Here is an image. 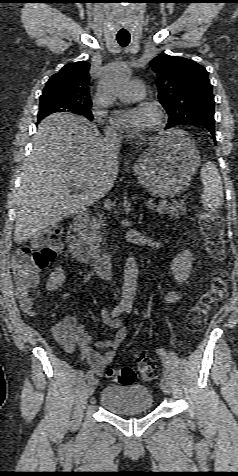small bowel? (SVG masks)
<instances>
[{"mask_svg": "<svg viewBox=\"0 0 238 476\" xmlns=\"http://www.w3.org/2000/svg\"><path fill=\"white\" fill-rule=\"evenodd\" d=\"M67 284V273L61 266L55 267L47 276L45 288L48 291H55L65 287ZM179 299L177 292H170L166 300L174 302ZM112 327L119 328L115 336L95 343L91 347L93 338L85 331L82 323L76 318L67 316L53 327V334L66 352H73L78 347L80 357L90 366L96 374H101L105 367L113 360L116 349L127 337V329L121 326L119 320L111 322Z\"/></svg>", "mask_w": 238, "mask_h": 476, "instance_id": "c3829d8e", "label": "small bowel"}]
</instances>
